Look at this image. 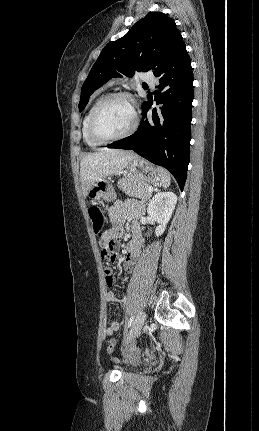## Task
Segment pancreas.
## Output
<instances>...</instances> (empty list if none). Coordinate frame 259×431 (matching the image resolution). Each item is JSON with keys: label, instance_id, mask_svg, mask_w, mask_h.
<instances>
[{"label": "pancreas", "instance_id": "obj_1", "mask_svg": "<svg viewBox=\"0 0 259 431\" xmlns=\"http://www.w3.org/2000/svg\"><path fill=\"white\" fill-rule=\"evenodd\" d=\"M118 187L131 197L142 200H148L151 197V192L148 191V187L150 186L138 178H122L118 181Z\"/></svg>", "mask_w": 259, "mask_h": 431}]
</instances>
